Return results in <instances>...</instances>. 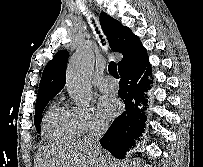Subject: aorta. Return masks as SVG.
<instances>
[{
  "instance_id": "aorta-1",
  "label": "aorta",
  "mask_w": 203,
  "mask_h": 167,
  "mask_svg": "<svg viewBox=\"0 0 203 167\" xmlns=\"http://www.w3.org/2000/svg\"><path fill=\"white\" fill-rule=\"evenodd\" d=\"M94 65L95 55L88 47L76 51L69 62L66 86L70 96L78 104L86 105L91 100Z\"/></svg>"
}]
</instances>
